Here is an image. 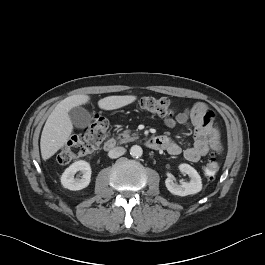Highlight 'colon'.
Returning <instances> with one entry per match:
<instances>
[{
  "label": "colon",
  "mask_w": 265,
  "mask_h": 265,
  "mask_svg": "<svg viewBox=\"0 0 265 265\" xmlns=\"http://www.w3.org/2000/svg\"><path fill=\"white\" fill-rule=\"evenodd\" d=\"M141 109L160 117H171L173 115L172 101L168 98L143 97L139 101ZM108 133V122L100 116L95 115L86 127L85 131L68 141L57 155L59 164H68L75 159L87 156L95 152ZM220 168L216 156H209L204 165V173L208 177H214Z\"/></svg>",
  "instance_id": "1"
}]
</instances>
